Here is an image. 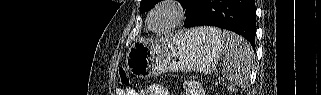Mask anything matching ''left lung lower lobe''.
<instances>
[{"instance_id": "0a47b994", "label": "left lung lower lobe", "mask_w": 321, "mask_h": 95, "mask_svg": "<svg viewBox=\"0 0 321 95\" xmlns=\"http://www.w3.org/2000/svg\"><path fill=\"white\" fill-rule=\"evenodd\" d=\"M184 9L187 28L210 25L228 29L245 37L255 48L254 0H191Z\"/></svg>"}]
</instances>
